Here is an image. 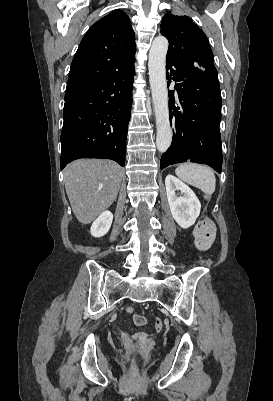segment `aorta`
<instances>
[{"label":"aorta","instance_id":"762f6f07","mask_svg":"<svg viewBox=\"0 0 273 401\" xmlns=\"http://www.w3.org/2000/svg\"><path fill=\"white\" fill-rule=\"evenodd\" d=\"M168 45L165 37H156L152 42L148 61L149 81L156 118V146L162 153L168 150L172 142L165 70Z\"/></svg>","mask_w":273,"mask_h":401}]
</instances>
